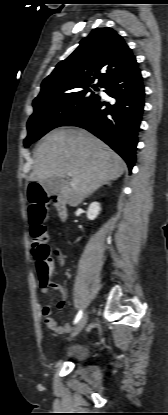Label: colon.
I'll return each mask as SVG.
<instances>
[{
  "mask_svg": "<svg viewBox=\"0 0 168 415\" xmlns=\"http://www.w3.org/2000/svg\"><path fill=\"white\" fill-rule=\"evenodd\" d=\"M29 220L32 238V252L40 279L45 285L50 283L54 266V257L46 242L47 230L44 221L47 216L50 197L43 189L34 185L29 189Z\"/></svg>",
  "mask_w": 168,
  "mask_h": 415,
  "instance_id": "5ec220e1",
  "label": "colon"
}]
</instances>
